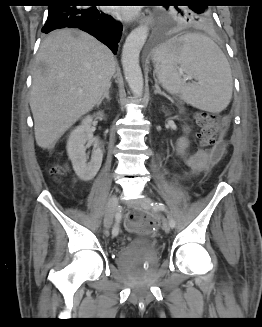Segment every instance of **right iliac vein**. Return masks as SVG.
I'll use <instances>...</instances> for the list:
<instances>
[{
  "instance_id": "63e3f726",
  "label": "right iliac vein",
  "mask_w": 262,
  "mask_h": 327,
  "mask_svg": "<svg viewBox=\"0 0 262 327\" xmlns=\"http://www.w3.org/2000/svg\"><path fill=\"white\" fill-rule=\"evenodd\" d=\"M118 207V197L117 195H112L108 201V206L104 216V227L109 229L112 225L116 209Z\"/></svg>"
}]
</instances>
